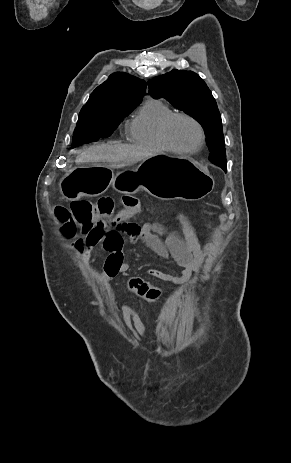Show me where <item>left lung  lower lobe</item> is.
<instances>
[{"instance_id": "obj_1", "label": "left lung lower lobe", "mask_w": 291, "mask_h": 463, "mask_svg": "<svg viewBox=\"0 0 291 463\" xmlns=\"http://www.w3.org/2000/svg\"><path fill=\"white\" fill-rule=\"evenodd\" d=\"M219 167H221L224 171L227 170V166L221 165V166H219Z\"/></svg>"}]
</instances>
